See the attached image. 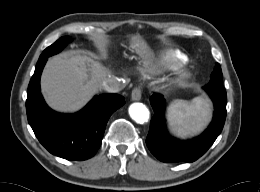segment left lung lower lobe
Here are the masks:
<instances>
[{
  "label": "left lung lower lobe",
  "mask_w": 260,
  "mask_h": 192,
  "mask_svg": "<svg viewBox=\"0 0 260 192\" xmlns=\"http://www.w3.org/2000/svg\"><path fill=\"white\" fill-rule=\"evenodd\" d=\"M203 89L214 103V116L211 124L198 138L181 141L166 132L164 124V99L160 94L150 98L154 109L146 144L151 153L166 163L193 162L201 157L221 133L226 118V91L223 85H206Z\"/></svg>",
  "instance_id": "1"
}]
</instances>
